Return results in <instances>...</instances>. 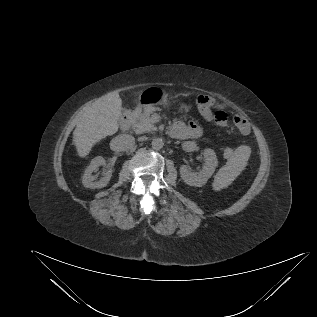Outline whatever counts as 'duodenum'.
I'll return each mask as SVG.
<instances>
[{"label":"duodenum","mask_w":317,"mask_h":317,"mask_svg":"<svg viewBox=\"0 0 317 317\" xmlns=\"http://www.w3.org/2000/svg\"><path fill=\"white\" fill-rule=\"evenodd\" d=\"M131 123V112L130 111H126L121 119H120V127L122 130H126Z\"/></svg>","instance_id":"410a0bca"}]
</instances>
